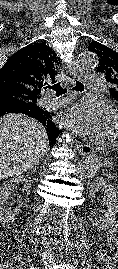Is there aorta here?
Listing matches in <instances>:
<instances>
[{
  "instance_id": "1",
  "label": "aorta",
  "mask_w": 118,
  "mask_h": 269,
  "mask_svg": "<svg viewBox=\"0 0 118 269\" xmlns=\"http://www.w3.org/2000/svg\"><path fill=\"white\" fill-rule=\"evenodd\" d=\"M78 64L84 70L94 69L98 64V58L94 53L86 51L78 56ZM99 167V158L96 155H90L79 163L77 175L80 178L92 177L98 172Z\"/></svg>"
}]
</instances>
